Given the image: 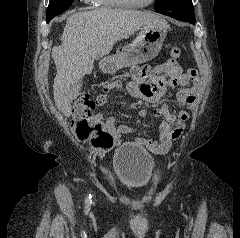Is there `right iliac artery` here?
<instances>
[{
  "label": "right iliac artery",
  "instance_id": "right-iliac-artery-1",
  "mask_svg": "<svg viewBox=\"0 0 240 238\" xmlns=\"http://www.w3.org/2000/svg\"><path fill=\"white\" fill-rule=\"evenodd\" d=\"M91 195L86 197L85 204L89 207L91 205Z\"/></svg>",
  "mask_w": 240,
  "mask_h": 238
}]
</instances>
